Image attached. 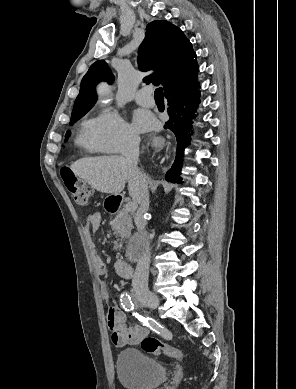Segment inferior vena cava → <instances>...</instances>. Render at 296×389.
I'll list each match as a JSON object with an SVG mask.
<instances>
[{
  "label": "inferior vena cava",
  "mask_w": 296,
  "mask_h": 389,
  "mask_svg": "<svg viewBox=\"0 0 296 389\" xmlns=\"http://www.w3.org/2000/svg\"><path fill=\"white\" fill-rule=\"evenodd\" d=\"M139 144H140L139 136L135 133H128L125 138L122 154L128 161L132 173L141 182L142 194H141L140 206L135 215V224L138 229V232L144 237H147L145 232V227H146L145 215L149 210L150 201H149V191H148L146 179L137 167V163L139 159ZM149 265H150V258L148 255H146L138 262L132 280L133 291L140 301H144L152 297V294L148 288Z\"/></svg>",
  "instance_id": "inferior-vena-cava-1"
}]
</instances>
